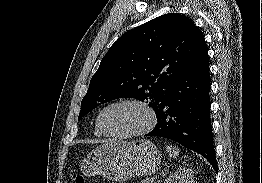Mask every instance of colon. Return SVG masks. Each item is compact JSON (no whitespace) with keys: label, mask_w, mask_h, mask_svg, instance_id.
Here are the masks:
<instances>
[{"label":"colon","mask_w":262,"mask_h":183,"mask_svg":"<svg viewBox=\"0 0 262 183\" xmlns=\"http://www.w3.org/2000/svg\"><path fill=\"white\" fill-rule=\"evenodd\" d=\"M75 183H85L84 178L82 176H78L75 180Z\"/></svg>","instance_id":"colon-1"}]
</instances>
